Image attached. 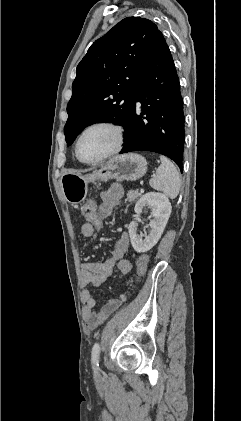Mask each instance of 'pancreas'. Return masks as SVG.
I'll return each mask as SVG.
<instances>
[{"label": "pancreas", "instance_id": "cf45deb5", "mask_svg": "<svg viewBox=\"0 0 241 421\" xmlns=\"http://www.w3.org/2000/svg\"><path fill=\"white\" fill-rule=\"evenodd\" d=\"M140 196H141V193H139L137 191H134V190H130L127 193V200L129 202H132V201L136 200Z\"/></svg>", "mask_w": 241, "mask_h": 421}]
</instances>
